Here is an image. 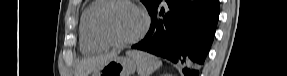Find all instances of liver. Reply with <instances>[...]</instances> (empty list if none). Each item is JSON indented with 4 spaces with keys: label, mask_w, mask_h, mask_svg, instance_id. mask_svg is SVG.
<instances>
[{
    "label": "liver",
    "mask_w": 287,
    "mask_h": 76,
    "mask_svg": "<svg viewBox=\"0 0 287 76\" xmlns=\"http://www.w3.org/2000/svg\"><path fill=\"white\" fill-rule=\"evenodd\" d=\"M113 57H117V54L82 59L76 68V76H87L92 71L101 68L107 60Z\"/></svg>",
    "instance_id": "liver-1"
}]
</instances>
